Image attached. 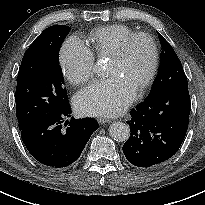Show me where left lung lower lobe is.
<instances>
[{"instance_id": "obj_1", "label": "left lung lower lobe", "mask_w": 205, "mask_h": 205, "mask_svg": "<svg viewBox=\"0 0 205 205\" xmlns=\"http://www.w3.org/2000/svg\"><path fill=\"white\" fill-rule=\"evenodd\" d=\"M190 110L187 81L147 97L127 121L131 134L122 148L127 160L139 168H152L171 158L185 138Z\"/></svg>"}]
</instances>
